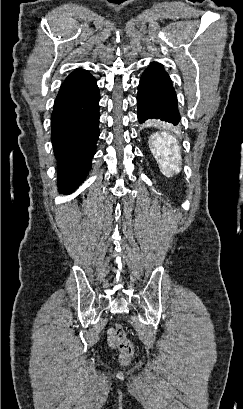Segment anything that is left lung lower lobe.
Listing matches in <instances>:
<instances>
[{"label":"left lung lower lobe","instance_id":"0a47b994","mask_svg":"<svg viewBox=\"0 0 243 409\" xmlns=\"http://www.w3.org/2000/svg\"><path fill=\"white\" fill-rule=\"evenodd\" d=\"M137 104L139 123L149 119H159L174 125L179 123L176 92L161 64L152 62L142 74L138 86Z\"/></svg>","mask_w":243,"mask_h":409}]
</instances>
